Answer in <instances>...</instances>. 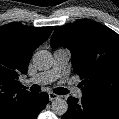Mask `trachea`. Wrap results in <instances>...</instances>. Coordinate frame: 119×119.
<instances>
[{
	"mask_svg": "<svg viewBox=\"0 0 119 119\" xmlns=\"http://www.w3.org/2000/svg\"><path fill=\"white\" fill-rule=\"evenodd\" d=\"M29 90H30L31 92H40L41 88H40V86H38V85H36V84H33V85L29 88ZM53 92L56 93V94H59V95H64V94H67V93H68V90L65 89V88L59 87V88H55V89L53 90Z\"/></svg>",
	"mask_w": 119,
	"mask_h": 119,
	"instance_id": "1",
	"label": "trachea"
}]
</instances>
